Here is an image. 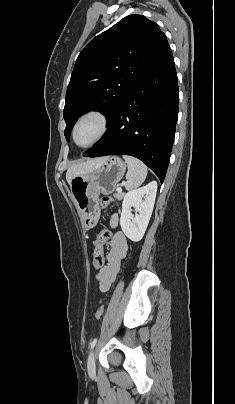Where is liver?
I'll return each mask as SVG.
<instances>
[{
	"label": "liver",
	"instance_id": "1",
	"mask_svg": "<svg viewBox=\"0 0 235 404\" xmlns=\"http://www.w3.org/2000/svg\"><path fill=\"white\" fill-rule=\"evenodd\" d=\"M107 157L90 159L71 165L66 172V180L70 184L71 180L79 175L85 174L99 167Z\"/></svg>",
	"mask_w": 235,
	"mask_h": 404
}]
</instances>
